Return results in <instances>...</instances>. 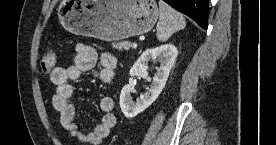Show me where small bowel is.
<instances>
[{
  "label": "small bowel",
  "mask_w": 276,
  "mask_h": 145,
  "mask_svg": "<svg viewBox=\"0 0 276 145\" xmlns=\"http://www.w3.org/2000/svg\"><path fill=\"white\" fill-rule=\"evenodd\" d=\"M96 62L95 49L81 43L75 47L71 65L55 67L50 73V81L56 87L52 105L59 115L60 123L70 137L77 138L86 145L102 144L117 123L114 115L115 103L110 96H103L100 99L99 106L103 118L92 132H84L80 123L75 120L76 106L71 102L74 88L70 81L79 79L84 72L93 70ZM99 65L95 77L105 85H112L115 80L116 58L112 54L105 53L100 57Z\"/></svg>",
  "instance_id": "small-bowel-1"
}]
</instances>
